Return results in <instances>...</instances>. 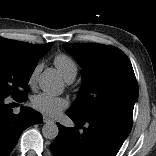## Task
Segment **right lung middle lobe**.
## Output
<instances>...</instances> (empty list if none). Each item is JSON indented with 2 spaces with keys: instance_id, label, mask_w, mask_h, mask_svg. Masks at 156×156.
I'll return each mask as SVG.
<instances>
[{
  "instance_id": "right-lung-middle-lobe-1",
  "label": "right lung middle lobe",
  "mask_w": 156,
  "mask_h": 156,
  "mask_svg": "<svg viewBox=\"0 0 156 156\" xmlns=\"http://www.w3.org/2000/svg\"><path fill=\"white\" fill-rule=\"evenodd\" d=\"M37 62H29L16 53L0 49V95L26 98L29 79Z\"/></svg>"
}]
</instances>
